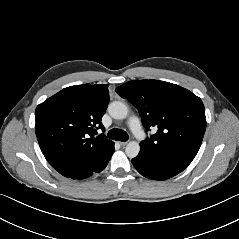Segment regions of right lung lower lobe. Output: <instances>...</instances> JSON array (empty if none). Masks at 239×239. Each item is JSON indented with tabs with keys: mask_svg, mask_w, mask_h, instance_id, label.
Instances as JSON below:
<instances>
[{
	"mask_svg": "<svg viewBox=\"0 0 239 239\" xmlns=\"http://www.w3.org/2000/svg\"><path fill=\"white\" fill-rule=\"evenodd\" d=\"M114 145L110 148V151L109 153L105 156L104 159L101 160V162H99L97 165L95 166H92L90 168H87L79 173H74V174H71L70 178L72 179H77V180H81V179H84V178H87L91 175H93L94 173H98V172H101L102 170L105 169V167L107 166L112 154L114 153Z\"/></svg>",
	"mask_w": 239,
	"mask_h": 239,
	"instance_id": "obj_1",
	"label": "right lung lower lobe"
}]
</instances>
